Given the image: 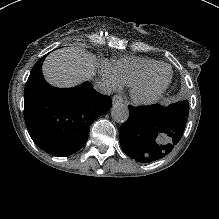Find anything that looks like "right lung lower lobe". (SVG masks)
<instances>
[{"instance_id": "1", "label": "right lung lower lobe", "mask_w": 219, "mask_h": 219, "mask_svg": "<svg viewBox=\"0 0 219 219\" xmlns=\"http://www.w3.org/2000/svg\"><path fill=\"white\" fill-rule=\"evenodd\" d=\"M44 58L34 65L25 86V122L41 149L66 156L86 143L91 123L106 113L112 102L89 82L70 89L50 86L41 72Z\"/></svg>"}]
</instances>
